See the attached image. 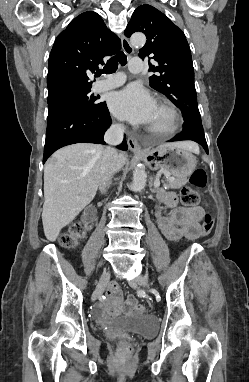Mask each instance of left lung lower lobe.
<instances>
[{
	"mask_svg": "<svg viewBox=\"0 0 249 382\" xmlns=\"http://www.w3.org/2000/svg\"><path fill=\"white\" fill-rule=\"evenodd\" d=\"M181 140H192L199 143L205 151L208 153V146L206 143L204 130L201 122H184L183 130L180 134L176 135L174 138L169 140L173 141H181Z\"/></svg>",
	"mask_w": 249,
	"mask_h": 382,
	"instance_id": "1",
	"label": "left lung lower lobe"
}]
</instances>
